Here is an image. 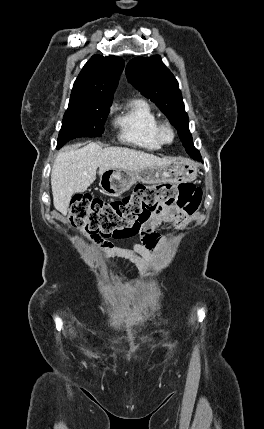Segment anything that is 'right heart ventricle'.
<instances>
[{
  "label": "right heart ventricle",
  "instance_id": "1",
  "mask_svg": "<svg viewBox=\"0 0 264 429\" xmlns=\"http://www.w3.org/2000/svg\"><path fill=\"white\" fill-rule=\"evenodd\" d=\"M159 122L148 101L134 99L122 108L115 125L121 141L147 150H157L163 145L156 133Z\"/></svg>",
  "mask_w": 264,
  "mask_h": 429
}]
</instances>
